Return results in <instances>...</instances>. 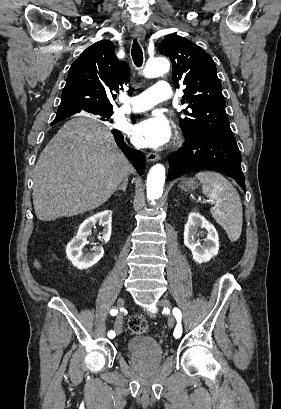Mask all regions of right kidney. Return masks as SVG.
<instances>
[{
  "mask_svg": "<svg viewBox=\"0 0 281 409\" xmlns=\"http://www.w3.org/2000/svg\"><path fill=\"white\" fill-rule=\"evenodd\" d=\"M95 223H102L104 227L102 239H104L105 243H108L111 237L112 211H101V213H96V215L85 219L82 225H80L76 237H73L70 243H68L66 249L70 251L71 263L74 267H77V269H89V267H93L104 255L103 247H100V245L99 247L90 249V253H86V255L83 253L85 245H89L87 237L91 235Z\"/></svg>",
  "mask_w": 281,
  "mask_h": 409,
  "instance_id": "right-kidney-1",
  "label": "right kidney"
}]
</instances>
